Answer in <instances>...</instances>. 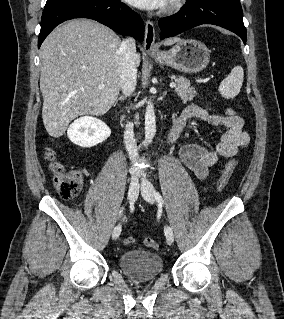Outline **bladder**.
I'll use <instances>...</instances> for the list:
<instances>
[{
    "label": "bladder",
    "instance_id": "bladder-1",
    "mask_svg": "<svg viewBox=\"0 0 284 319\" xmlns=\"http://www.w3.org/2000/svg\"><path fill=\"white\" fill-rule=\"evenodd\" d=\"M121 271L135 282H147L161 274L164 263L162 258L151 251L132 249L119 257Z\"/></svg>",
    "mask_w": 284,
    "mask_h": 319
}]
</instances>
